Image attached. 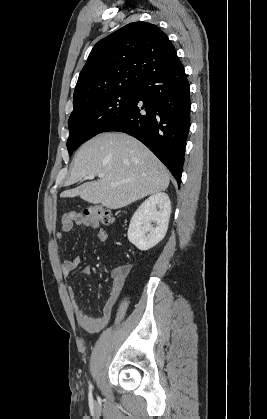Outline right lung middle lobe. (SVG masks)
<instances>
[{"label": "right lung middle lobe", "mask_w": 267, "mask_h": 419, "mask_svg": "<svg viewBox=\"0 0 267 419\" xmlns=\"http://www.w3.org/2000/svg\"><path fill=\"white\" fill-rule=\"evenodd\" d=\"M139 87L131 86L109 90L86 97L73 104L68 126L69 155L81 144L102 133L118 120L134 101Z\"/></svg>", "instance_id": "right-lung-middle-lobe-1"}]
</instances>
